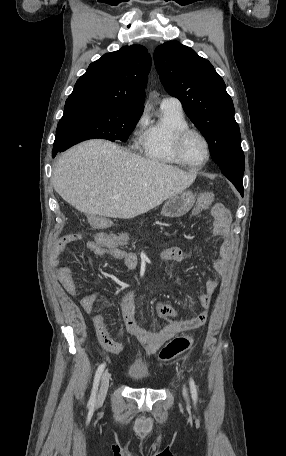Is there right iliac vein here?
Listing matches in <instances>:
<instances>
[{
	"label": "right iliac vein",
	"instance_id": "obj_1",
	"mask_svg": "<svg viewBox=\"0 0 286 456\" xmlns=\"http://www.w3.org/2000/svg\"><path fill=\"white\" fill-rule=\"evenodd\" d=\"M109 380H110V373L108 371H106L101 378V386H100L99 394L97 397V403H100L104 400L108 387H109Z\"/></svg>",
	"mask_w": 286,
	"mask_h": 456
}]
</instances>
